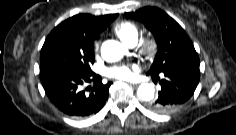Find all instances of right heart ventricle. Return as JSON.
Instances as JSON below:
<instances>
[{"label": "right heart ventricle", "mask_w": 236, "mask_h": 135, "mask_svg": "<svg viewBox=\"0 0 236 135\" xmlns=\"http://www.w3.org/2000/svg\"><path fill=\"white\" fill-rule=\"evenodd\" d=\"M112 31L126 45L136 44L140 35L139 27L129 20L116 23Z\"/></svg>", "instance_id": "right-heart-ventricle-1"}]
</instances>
